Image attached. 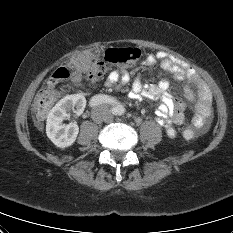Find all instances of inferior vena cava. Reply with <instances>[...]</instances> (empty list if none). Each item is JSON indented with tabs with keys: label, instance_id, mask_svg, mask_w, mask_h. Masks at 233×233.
Wrapping results in <instances>:
<instances>
[{
	"label": "inferior vena cava",
	"instance_id": "inferior-vena-cava-1",
	"mask_svg": "<svg viewBox=\"0 0 233 233\" xmlns=\"http://www.w3.org/2000/svg\"><path fill=\"white\" fill-rule=\"evenodd\" d=\"M106 117L109 118V119H111V118H112V115H111L110 113L107 112V113H106Z\"/></svg>",
	"mask_w": 233,
	"mask_h": 233
}]
</instances>
